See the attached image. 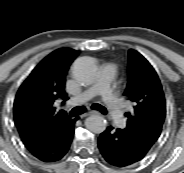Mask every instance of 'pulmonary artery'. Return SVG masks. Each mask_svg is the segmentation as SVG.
Instances as JSON below:
<instances>
[{
  "instance_id": "obj_1",
  "label": "pulmonary artery",
  "mask_w": 184,
  "mask_h": 173,
  "mask_svg": "<svg viewBox=\"0 0 184 173\" xmlns=\"http://www.w3.org/2000/svg\"><path fill=\"white\" fill-rule=\"evenodd\" d=\"M91 93L101 94L105 107L115 122L121 123L123 121V110L114 96L110 72L103 74L101 82L99 85L92 87Z\"/></svg>"
}]
</instances>
